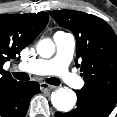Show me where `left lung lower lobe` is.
Listing matches in <instances>:
<instances>
[{
  "label": "left lung lower lobe",
  "instance_id": "0a47b994",
  "mask_svg": "<svg viewBox=\"0 0 117 117\" xmlns=\"http://www.w3.org/2000/svg\"><path fill=\"white\" fill-rule=\"evenodd\" d=\"M77 94V107L68 113L56 112V117H108L117 100L105 96L87 94L74 90Z\"/></svg>",
  "mask_w": 117,
  "mask_h": 117
}]
</instances>
